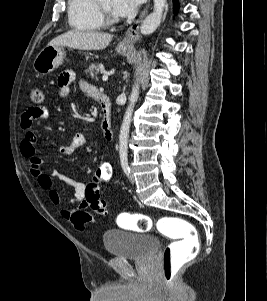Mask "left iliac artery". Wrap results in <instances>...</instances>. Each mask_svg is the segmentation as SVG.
<instances>
[{"instance_id": "obj_1", "label": "left iliac artery", "mask_w": 267, "mask_h": 301, "mask_svg": "<svg viewBox=\"0 0 267 301\" xmlns=\"http://www.w3.org/2000/svg\"><path fill=\"white\" fill-rule=\"evenodd\" d=\"M121 165H122V169H123L124 173L126 175H129V173H130V167H129L128 161H122Z\"/></svg>"}]
</instances>
